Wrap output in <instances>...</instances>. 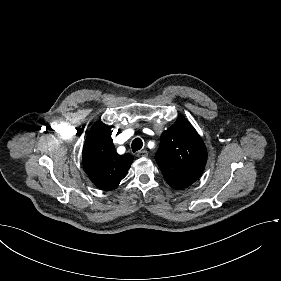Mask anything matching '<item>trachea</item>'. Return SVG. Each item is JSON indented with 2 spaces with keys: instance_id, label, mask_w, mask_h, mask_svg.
I'll return each instance as SVG.
<instances>
[{
  "instance_id": "trachea-1",
  "label": "trachea",
  "mask_w": 281,
  "mask_h": 281,
  "mask_svg": "<svg viewBox=\"0 0 281 281\" xmlns=\"http://www.w3.org/2000/svg\"><path fill=\"white\" fill-rule=\"evenodd\" d=\"M142 146H143V142L139 137L135 138L132 141L131 148H132L133 152L140 150L142 148Z\"/></svg>"
}]
</instances>
